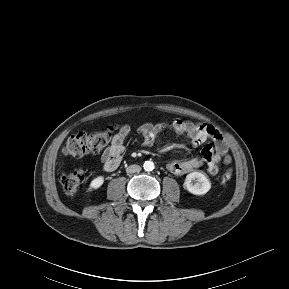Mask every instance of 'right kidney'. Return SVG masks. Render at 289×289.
Here are the masks:
<instances>
[{"label": "right kidney", "instance_id": "ca27d5eb", "mask_svg": "<svg viewBox=\"0 0 289 289\" xmlns=\"http://www.w3.org/2000/svg\"><path fill=\"white\" fill-rule=\"evenodd\" d=\"M104 183V177L103 176H98L96 178H94L88 187V191H93L98 189L99 187H101Z\"/></svg>", "mask_w": 289, "mask_h": 289}]
</instances>
